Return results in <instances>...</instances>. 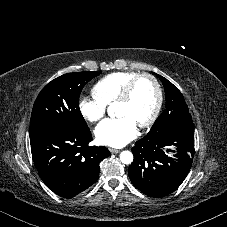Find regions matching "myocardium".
Segmentation results:
<instances>
[{
  "mask_svg": "<svg viewBox=\"0 0 227 227\" xmlns=\"http://www.w3.org/2000/svg\"><path fill=\"white\" fill-rule=\"evenodd\" d=\"M141 78H148L154 85L155 87V91H156V102H155V107L151 113V115L148 117L147 120H145L143 123H141L139 125L140 128H146L151 126L156 119L158 118V115L160 113L161 107H162V103H163V92H162V88L161 85L158 81V79L150 74V73H140L135 75L125 86V88L123 89L121 95L119 96V98L116 100V104H123L126 103L130 100L132 94H133V90L135 88V85L137 84V82L141 79Z\"/></svg>",
  "mask_w": 227,
  "mask_h": 227,
  "instance_id": "1",
  "label": "myocardium"
}]
</instances>
